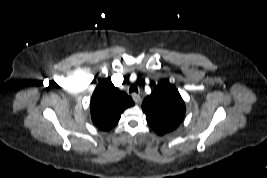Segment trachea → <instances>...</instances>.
<instances>
[{
    "instance_id": "trachea-1",
    "label": "trachea",
    "mask_w": 267,
    "mask_h": 178,
    "mask_svg": "<svg viewBox=\"0 0 267 178\" xmlns=\"http://www.w3.org/2000/svg\"><path fill=\"white\" fill-rule=\"evenodd\" d=\"M138 93V88L136 85H132L130 88H129V93Z\"/></svg>"
}]
</instances>
